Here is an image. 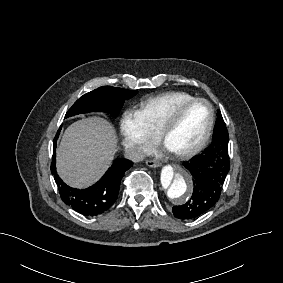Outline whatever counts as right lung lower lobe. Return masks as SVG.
Returning <instances> with one entry per match:
<instances>
[{
    "mask_svg": "<svg viewBox=\"0 0 283 283\" xmlns=\"http://www.w3.org/2000/svg\"><path fill=\"white\" fill-rule=\"evenodd\" d=\"M58 130L54 139L53 158L51 171L58 186L63 202L75 211L85 216H96L108 210L116 201L120 189V182L125 173L133 163L126 159H116L105 175L93 186L87 189H75L67 186L56 172V140Z\"/></svg>",
    "mask_w": 283,
    "mask_h": 283,
    "instance_id": "obj_1",
    "label": "right lung lower lobe"
}]
</instances>
